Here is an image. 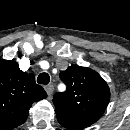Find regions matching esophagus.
I'll return each mask as SVG.
<instances>
[{
	"instance_id": "obj_1",
	"label": "esophagus",
	"mask_w": 130,
	"mask_h": 130,
	"mask_svg": "<svg viewBox=\"0 0 130 130\" xmlns=\"http://www.w3.org/2000/svg\"><path fill=\"white\" fill-rule=\"evenodd\" d=\"M45 90H46L48 96H51L52 93H53V91H54V86L51 85V84H50V85H47V86H45Z\"/></svg>"
}]
</instances>
